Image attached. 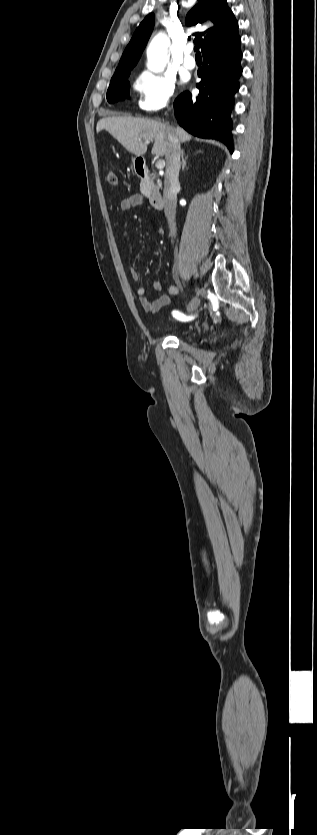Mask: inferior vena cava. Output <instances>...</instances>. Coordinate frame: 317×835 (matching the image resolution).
I'll return each instance as SVG.
<instances>
[{
    "label": "inferior vena cava",
    "instance_id": "obj_1",
    "mask_svg": "<svg viewBox=\"0 0 317 835\" xmlns=\"http://www.w3.org/2000/svg\"><path fill=\"white\" fill-rule=\"evenodd\" d=\"M169 147L166 154V174L164 183V212L167 218L170 236L176 235V206H177V190L179 188V171H180V142L175 135L172 128L168 133Z\"/></svg>",
    "mask_w": 317,
    "mask_h": 835
}]
</instances>
